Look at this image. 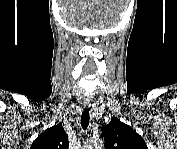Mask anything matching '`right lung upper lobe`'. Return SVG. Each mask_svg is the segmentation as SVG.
I'll return each mask as SVG.
<instances>
[{
  "label": "right lung upper lobe",
  "instance_id": "right-lung-upper-lobe-1",
  "mask_svg": "<svg viewBox=\"0 0 177 149\" xmlns=\"http://www.w3.org/2000/svg\"><path fill=\"white\" fill-rule=\"evenodd\" d=\"M68 144V136L59 123L39 135L31 149H68Z\"/></svg>",
  "mask_w": 177,
  "mask_h": 149
}]
</instances>
